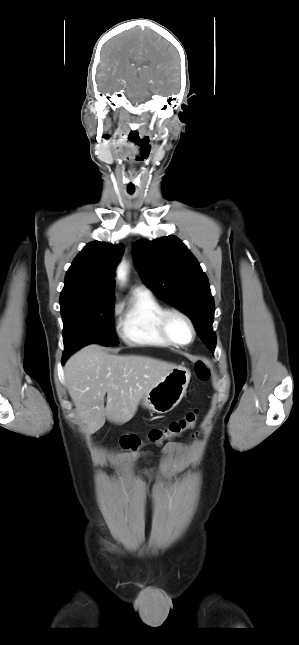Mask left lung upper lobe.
I'll use <instances>...</instances> for the list:
<instances>
[{
  "instance_id": "1",
  "label": "left lung upper lobe",
  "mask_w": 299,
  "mask_h": 645,
  "mask_svg": "<svg viewBox=\"0 0 299 645\" xmlns=\"http://www.w3.org/2000/svg\"><path fill=\"white\" fill-rule=\"evenodd\" d=\"M132 253L144 283L160 299L188 315L203 342L214 352V300L206 274L185 244L175 236L140 239L134 243Z\"/></svg>"
}]
</instances>
